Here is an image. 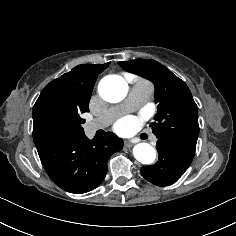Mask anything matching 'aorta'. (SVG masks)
<instances>
[{
	"instance_id": "obj_1",
	"label": "aorta",
	"mask_w": 236,
	"mask_h": 236,
	"mask_svg": "<svg viewBox=\"0 0 236 236\" xmlns=\"http://www.w3.org/2000/svg\"><path fill=\"white\" fill-rule=\"evenodd\" d=\"M100 96L110 103L122 101L128 93L126 81L118 75L103 78L98 86ZM133 155L142 164H152L156 159L155 149L148 143H139L133 148Z\"/></svg>"
}]
</instances>
